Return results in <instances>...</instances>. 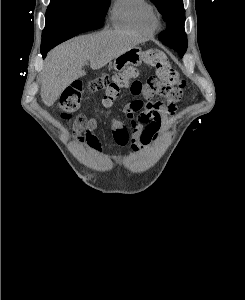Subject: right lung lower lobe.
<instances>
[{
    "label": "right lung lower lobe",
    "instance_id": "98d812e1",
    "mask_svg": "<svg viewBox=\"0 0 245 300\" xmlns=\"http://www.w3.org/2000/svg\"><path fill=\"white\" fill-rule=\"evenodd\" d=\"M103 26V22L100 21H91V22H87L84 26H83V32L86 31H90V30H94V29H99ZM53 47L51 46H47V47H41V54L43 56V58L46 57L47 52Z\"/></svg>",
    "mask_w": 245,
    "mask_h": 300
}]
</instances>
